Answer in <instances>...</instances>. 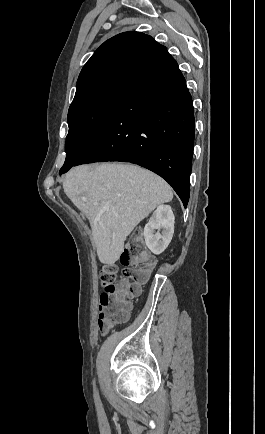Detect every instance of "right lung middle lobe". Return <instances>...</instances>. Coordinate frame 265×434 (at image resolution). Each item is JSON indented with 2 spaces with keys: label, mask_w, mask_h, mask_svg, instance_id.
<instances>
[{
  "label": "right lung middle lobe",
  "mask_w": 265,
  "mask_h": 434,
  "mask_svg": "<svg viewBox=\"0 0 265 434\" xmlns=\"http://www.w3.org/2000/svg\"><path fill=\"white\" fill-rule=\"evenodd\" d=\"M134 76L110 75L77 87L68 111L66 159L60 174L74 166L90 148L112 116Z\"/></svg>",
  "instance_id": "1"
}]
</instances>
